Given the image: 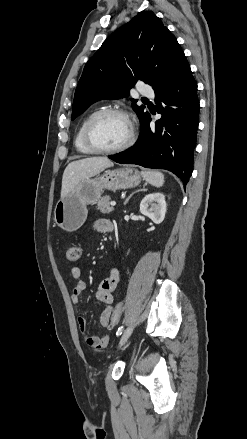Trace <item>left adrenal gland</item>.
Listing matches in <instances>:
<instances>
[{
	"instance_id": "obj_1",
	"label": "left adrenal gland",
	"mask_w": 247,
	"mask_h": 439,
	"mask_svg": "<svg viewBox=\"0 0 247 439\" xmlns=\"http://www.w3.org/2000/svg\"><path fill=\"white\" fill-rule=\"evenodd\" d=\"M146 190H147V189L142 188V189H139V190L133 192L132 194H130V196L125 200L124 205L127 204V202L129 201V199H130L134 194H136L137 192L146 191Z\"/></svg>"
}]
</instances>
